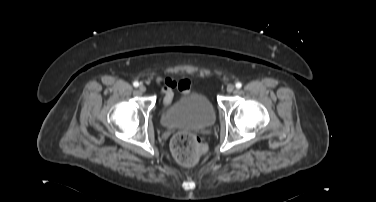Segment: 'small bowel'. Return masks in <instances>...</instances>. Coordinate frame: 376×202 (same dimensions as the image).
Listing matches in <instances>:
<instances>
[{
	"instance_id": "obj_1",
	"label": "small bowel",
	"mask_w": 376,
	"mask_h": 202,
	"mask_svg": "<svg viewBox=\"0 0 376 202\" xmlns=\"http://www.w3.org/2000/svg\"><path fill=\"white\" fill-rule=\"evenodd\" d=\"M160 85V94L162 96L163 105L169 106L174 97V90L177 89L181 94H189L191 90V81L188 79L174 80L173 78H159L157 80Z\"/></svg>"
}]
</instances>
